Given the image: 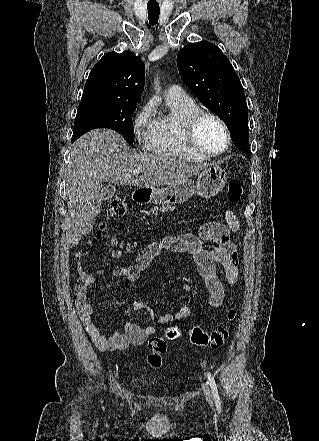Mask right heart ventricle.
Wrapping results in <instances>:
<instances>
[{
    "mask_svg": "<svg viewBox=\"0 0 319 441\" xmlns=\"http://www.w3.org/2000/svg\"><path fill=\"white\" fill-rule=\"evenodd\" d=\"M171 112L156 120L155 133L150 150L161 156L189 161H203L206 158L192 152L184 141V125L187 118L199 110L190 98L176 100L168 98Z\"/></svg>",
    "mask_w": 319,
    "mask_h": 441,
    "instance_id": "1",
    "label": "right heart ventricle"
}]
</instances>
